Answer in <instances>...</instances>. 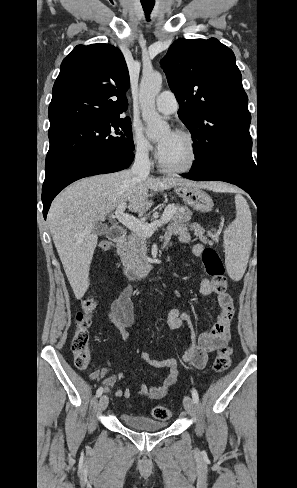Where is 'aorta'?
<instances>
[{
	"label": "aorta",
	"instance_id": "aorta-1",
	"mask_svg": "<svg viewBox=\"0 0 297 488\" xmlns=\"http://www.w3.org/2000/svg\"><path fill=\"white\" fill-rule=\"evenodd\" d=\"M162 87V75L158 72H144L140 82L139 101L147 134L150 137L159 135L168 128V123L158 114L155 108V97Z\"/></svg>",
	"mask_w": 297,
	"mask_h": 488
}]
</instances>
